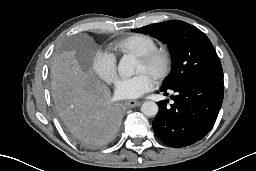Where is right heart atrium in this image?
Here are the masks:
<instances>
[{"label":"right heart atrium","instance_id":"d8ad5b80","mask_svg":"<svg viewBox=\"0 0 256 171\" xmlns=\"http://www.w3.org/2000/svg\"><path fill=\"white\" fill-rule=\"evenodd\" d=\"M94 73L108 83H114L118 76L117 59L109 51H98L92 60Z\"/></svg>","mask_w":256,"mask_h":171}]
</instances>
